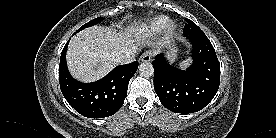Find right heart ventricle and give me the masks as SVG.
<instances>
[{
	"label": "right heart ventricle",
	"instance_id": "right-heart-ventricle-1",
	"mask_svg": "<svg viewBox=\"0 0 276 138\" xmlns=\"http://www.w3.org/2000/svg\"><path fill=\"white\" fill-rule=\"evenodd\" d=\"M169 23V18L166 16H158L151 20L146 26L145 31L148 34H157L161 32Z\"/></svg>",
	"mask_w": 276,
	"mask_h": 138
}]
</instances>
